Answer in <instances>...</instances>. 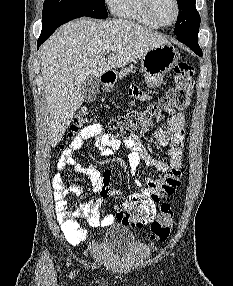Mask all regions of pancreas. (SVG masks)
Masks as SVG:
<instances>
[{"mask_svg":"<svg viewBox=\"0 0 233 286\" xmlns=\"http://www.w3.org/2000/svg\"><path fill=\"white\" fill-rule=\"evenodd\" d=\"M134 70L131 68H124L119 73V78L122 79L124 76L128 75L129 73H133Z\"/></svg>","mask_w":233,"mask_h":286,"instance_id":"cf45deb5","label":"pancreas"}]
</instances>
